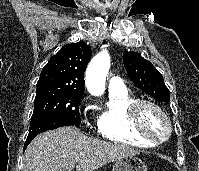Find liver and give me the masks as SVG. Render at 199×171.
Listing matches in <instances>:
<instances>
[{
    "label": "liver",
    "instance_id": "liver-1",
    "mask_svg": "<svg viewBox=\"0 0 199 171\" xmlns=\"http://www.w3.org/2000/svg\"><path fill=\"white\" fill-rule=\"evenodd\" d=\"M138 151L91 138L74 126L39 134L25 151L23 171H94Z\"/></svg>",
    "mask_w": 199,
    "mask_h": 171
}]
</instances>
